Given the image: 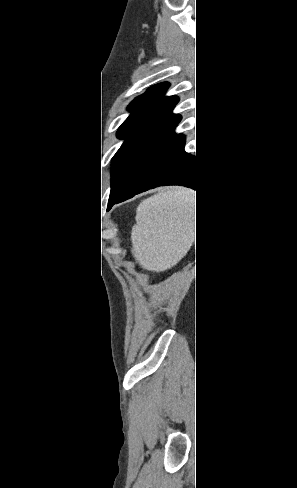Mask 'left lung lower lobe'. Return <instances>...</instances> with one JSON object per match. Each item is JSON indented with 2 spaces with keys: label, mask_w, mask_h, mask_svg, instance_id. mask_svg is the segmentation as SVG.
I'll return each mask as SVG.
<instances>
[{
  "label": "left lung lower lobe",
  "mask_w": 297,
  "mask_h": 488,
  "mask_svg": "<svg viewBox=\"0 0 297 488\" xmlns=\"http://www.w3.org/2000/svg\"><path fill=\"white\" fill-rule=\"evenodd\" d=\"M185 138L176 135L135 176L128 187L108 204L123 202L136 194L164 185H183L199 192L201 185L195 156L184 151Z\"/></svg>",
  "instance_id": "obj_1"
}]
</instances>
